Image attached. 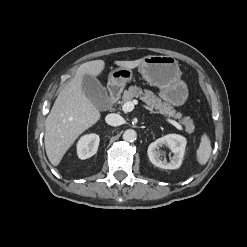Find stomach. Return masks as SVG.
<instances>
[{
  "instance_id": "1",
  "label": "stomach",
  "mask_w": 247,
  "mask_h": 247,
  "mask_svg": "<svg viewBox=\"0 0 247 247\" xmlns=\"http://www.w3.org/2000/svg\"><path fill=\"white\" fill-rule=\"evenodd\" d=\"M142 77L152 86L158 87L160 97L173 106L183 105L188 98V88L181 80L177 60L172 56L148 55L142 58L139 65ZM132 70L119 67L112 70L108 84L111 87L122 89L132 79Z\"/></svg>"
}]
</instances>
